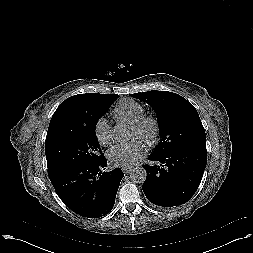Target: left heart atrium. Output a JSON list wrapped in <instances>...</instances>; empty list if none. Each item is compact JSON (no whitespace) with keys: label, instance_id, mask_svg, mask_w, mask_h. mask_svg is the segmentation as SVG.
Here are the masks:
<instances>
[{"label":"left heart atrium","instance_id":"left-heart-atrium-1","mask_svg":"<svg viewBox=\"0 0 253 253\" xmlns=\"http://www.w3.org/2000/svg\"><path fill=\"white\" fill-rule=\"evenodd\" d=\"M145 144L134 139L127 143L115 145L108 153L109 161L115 166H131L145 153Z\"/></svg>","mask_w":253,"mask_h":253}]
</instances>
